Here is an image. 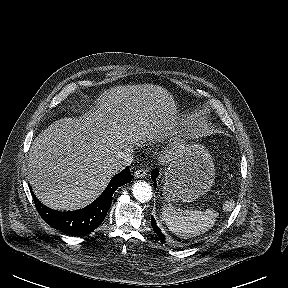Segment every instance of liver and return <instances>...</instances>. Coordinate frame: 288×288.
Returning a JSON list of instances; mask_svg holds the SVG:
<instances>
[{"mask_svg":"<svg viewBox=\"0 0 288 288\" xmlns=\"http://www.w3.org/2000/svg\"><path fill=\"white\" fill-rule=\"evenodd\" d=\"M77 119L53 122L33 141L28 159L30 186L41 203L72 211L94 201L115 174L111 162L132 145L177 134L179 114L169 92L153 84L112 87ZM174 146L161 162L170 161ZM125 153V152H124Z\"/></svg>","mask_w":288,"mask_h":288,"instance_id":"obj_1","label":"liver"}]
</instances>
